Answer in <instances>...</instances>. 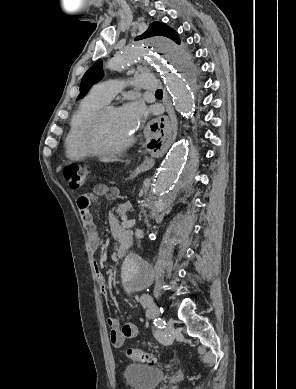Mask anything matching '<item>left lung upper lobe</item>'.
Instances as JSON below:
<instances>
[{
	"mask_svg": "<svg viewBox=\"0 0 296 389\" xmlns=\"http://www.w3.org/2000/svg\"><path fill=\"white\" fill-rule=\"evenodd\" d=\"M152 36H165L172 39L177 44L180 43L177 33L164 23L153 22L149 25V28L136 40L145 39ZM103 77L102 62L97 61L90 69L84 74L81 85L80 94L77 99H80L86 95L91 86L97 83Z\"/></svg>",
	"mask_w": 296,
	"mask_h": 389,
	"instance_id": "obj_1",
	"label": "left lung upper lobe"
}]
</instances>
